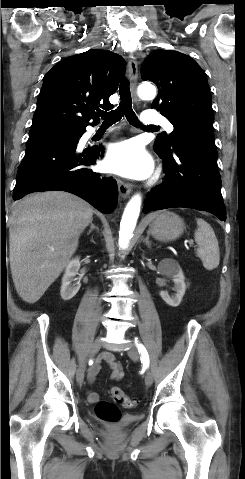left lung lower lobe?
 <instances>
[{
	"label": "left lung lower lobe",
	"mask_w": 245,
	"mask_h": 479,
	"mask_svg": "<svg viewBox=\"0 0 245 479\" xmlns=\"http://www.w3.org/2000/svg\"><path fill=\"white\" fill-rule=\"evenodd\" d=\"M164 161L165 181L148 193L143 212L185 207L226 220L214 140L196 137L176 143L171 152H156Z\"/></svg>",
	"instance_id": "1"
}]
</instances>
